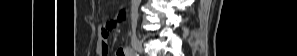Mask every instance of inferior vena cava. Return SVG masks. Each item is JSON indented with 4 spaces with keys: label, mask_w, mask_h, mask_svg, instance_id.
Returning <instances> with one entry per match:
<instances>
[{
    "label": "inferior vena cava",
    "mask_w": 297,
    "mask_h": 56,
    "mask_svg": "<svg viewBox=\"0 0 297 56\" xmlns=\"http://www.w3.org/2000/svg\"><path fill=\"white\" fill-rule=\"evenodd\" d=\"M140 0H133L132 1V9H131V21H132V27L135 28L137 25V19H138V4Z\"/></svg>",
    "instance_id": "inferior-vena-cava-1"
}]
</instances>
